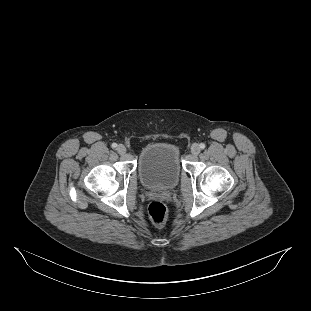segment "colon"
<instances>
[{"label": "colon", "instance_id": "colon-1", "mask_svg": "<svg viewBox=\"0 0 311 311\" xmlns=\"http://www.w3.org/2000/svg\"><path fill=\"white\" fill-rule=\"evenodd\" d=\"M148 212L151 221L157 225L162 226L167 222L168 210L167 207L159 201L152 202L148 207Z\"/></svg>", "mask_w": 311, "mask_h": 311}]
</instances>
